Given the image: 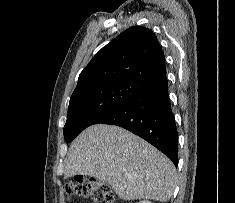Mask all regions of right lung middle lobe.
I'll return each mask as SVG.
<instances>
[{"instance_id": "right-lung-middle-lobe-1", "label": "right lung middle lobe", "mask_w": 235, "mask_h": 203, "mask_svg": "<svg viewBox=\"0 0 235 203\" xmlns=\"http://www.w3.org/2000/svg\"><path fill=\"white\" fill-rule=\"evenodd\" d=\"M146 86L132 81H107L73 92L64 126L66 142L72 141L85 128Z\"/></svg>"}]
</instances>
